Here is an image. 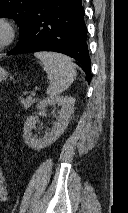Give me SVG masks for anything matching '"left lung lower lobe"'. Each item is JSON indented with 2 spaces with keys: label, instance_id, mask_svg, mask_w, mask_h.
Returning <instances> with one entry per match:
<instances>
[{
  "label": "left lung lower lobe",
  "instance_id": "left-lung-lower-lobe-1",
  "mask_svg": "<svg viewBox=\"0 0 128 213\" xmlns=\"http://www.w3.org/2000/svg\"><path fill=\"white\" fill-rule=\"evenodd\" d=\"M81 0H38L32 17L8 55L54 51L76 59L91 78L86 25Z\"/></svg>",
  "mask_w": 128,
  "mask_h": 213
}]
</instances>
